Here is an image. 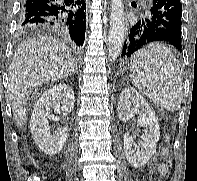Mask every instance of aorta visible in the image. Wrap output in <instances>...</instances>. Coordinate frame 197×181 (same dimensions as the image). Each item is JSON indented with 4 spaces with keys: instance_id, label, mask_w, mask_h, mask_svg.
Listing matches in <instances>:
<instances>
[{
    "instance_id": "aorta-1",
    "label": "aorta",
    "mask_w": 197,
    "mask_h": 181,
    "mask_svg": "<svg viewBox=\"0 0 197 181\" xmlns=\"http://www.w3.org/2000/svg\"><path fill=\"white\" fill-rule=\"evenodd\" d=\"M111 2L108 57L111 61H115L124 44L125 17L123 0H111Z\"/></svg>"
}]
</instances>
